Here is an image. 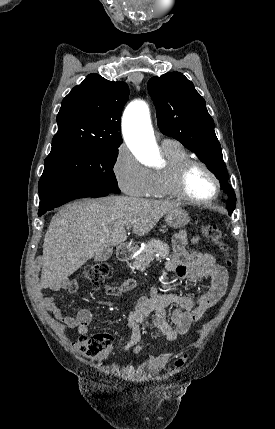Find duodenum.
<instances>
[{"mask_svg": "<svg viewBox=\"0 0 275 429\" xmlns=\"http://www.w3.org/2000/svg\"><path fill=\"white\" fill-rule=\"evenodd\" d=\"M133 253V248L131 245L124 244L119 246L117 250V256L120 261H127L131 258Z\"/></svg>", "mask_w": 275, "mask_h": 429, "instance_id": "1", "label": "duodenum"}]
</instances>
